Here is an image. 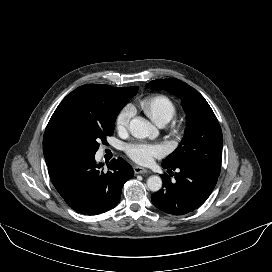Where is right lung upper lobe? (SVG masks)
Here are the masks:
<instances>
[{"mask_svg":"<svg viewBox=\"0 0 272 272\" xmlns=\"http://www.w3.org/2000/svg\"><path fill=\"white\" fill-rule=\"evenodd\" d=\"M137 90V86L87 84L68 94L56 108L44 133L43 152L47 165L58 161L56 140L62 131L108 127Z\"/></svg>","mask_w":272,"mask_h":272,"instance_id":"cb5924a9","label":"right lung upper lobe"}]
</instances>
